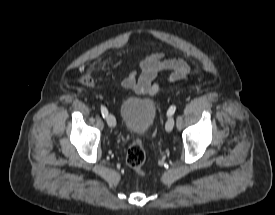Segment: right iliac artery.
Instances as JSON below:
<instances>
[{"label":"right iliac artery","mask_w":275,"mask_h":215,"mask_svg":"<svg viewBox=\"0 0 275 215\" xmlns=\"http://www.w3.org/2000/svg\"><path fill=\"white\" fill-rule=\"evenodd\" d=\"M101 113H102V116H103L104 118L107 117V115H108V110H107V108L104 107V106H101Z\"/></svg>","instance_id":"82829eb1"}]
</instances>
